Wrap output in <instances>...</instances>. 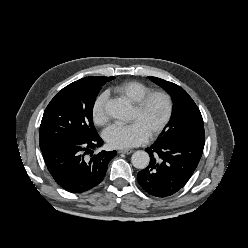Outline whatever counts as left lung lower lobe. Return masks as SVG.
I'll use <instances>...</instances> for the list:
<instances>
[{
  "instance_id": "0a47b994",
  "label": "left lung lower lobe",
  "mask_w": 248,
  "mask_h": 248,
  "mask_svg": "<svg viewBox=\"0 0 248 248\" xmlns=\"http://www.w3.org/2000/svg\"><path fill=\"white\" fill-rule=\"evenodd\" d=\"M204 144L205 140L195 137L158 140L146 149L150 163L138 173L139 185L155 197L173 195L192 176L202 156Z\"/></svg>"
}]
</instances>
